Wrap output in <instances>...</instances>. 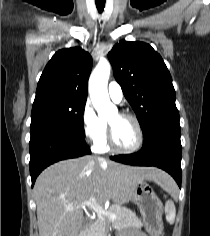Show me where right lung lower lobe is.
<instances>
[{"instance_id":"98d812e1","label":"right lung lower lobe","mask_w":210,"mask_h":236,"mask_svg":"<svg viewBox=\"0 0 210 236\" xmlns=\"http://www.w3.org/2000/svg\"><path fill=\"white\" fill-rule=\"evenodd\" d=\"M86 154H90V149L83 137L74 132L48 129L32 133L29 163L32 186L37 176L47 166Z\"/></svg>"}]
</instances>
